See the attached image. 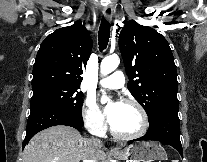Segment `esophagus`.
I'll return each instance as SVG.
<instances>
[{
  "mask_svg": "<svg viewBox=\"0 0 207 162\" xmlns=\"http://www.w3.org/2000/svg\"><path fill=\"white\" fill-rule=\"evenodd\" d=\"M103 15H104V18L107 22H111L112 15H113V9L110 5L104 7ZM116 150H117L116 148H112V151H116Z\"/></svg>",
  "mask_w": 207,
  "mask_h": 162,
  "instance_id": "esophagus-1",
  "label": "esophagus"
}]
</instances>
